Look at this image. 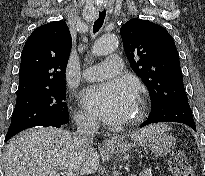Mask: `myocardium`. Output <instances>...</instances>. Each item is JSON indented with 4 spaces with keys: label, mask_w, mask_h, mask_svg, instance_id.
Listing matches in <instances>:
<instances>
[{
    "label": "myocardium",
    "mask_w": 205,
    "mask_h": 176,
    "mask_svg": "<svg viewBox=\"0 0 205 176\" xmlns=\"http://www.w3.org/2000/svg\"><path fill=\"white\" fill-rule=\"evenodd\" d=\"M146 115V104L143 98H139L137 101V110L135 113L126 121L127 125L138 124L145 118Z\"/></svg>",
    "instance_id": "obj_1"
}]
</instances>
